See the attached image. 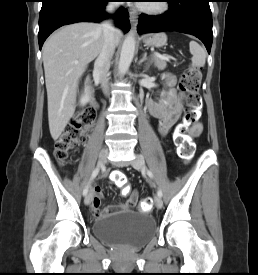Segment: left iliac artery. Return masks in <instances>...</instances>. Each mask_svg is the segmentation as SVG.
<instances>
[{"label":"left iliac artery","instance_id":"left-iliac-artery-1","mask_svg":"<svg viewBox=\"0 0 258 275\" xmlns=\"http://www.w3.org/2000/svg\"><path fill=\"white\" fill-rule=\"evenodd\" d=\"M147 174L150 178H153V174L150 170H147ZM157 194L159 197H162V190L160 188H158Z\"/></svg>","mask_w":258,"mask_h":275}]
</instances>
